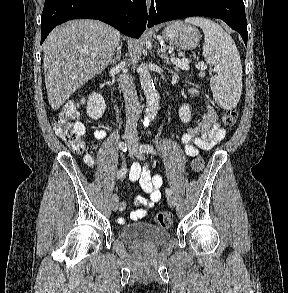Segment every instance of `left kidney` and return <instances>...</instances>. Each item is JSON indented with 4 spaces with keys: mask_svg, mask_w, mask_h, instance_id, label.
I'll return each mask as SVG.
<instances>
[{
    "mask_svg": "<svg viewBox=\"0 0 288 293\" xmlns=\"http://www.w3.org/2000/svg\"><path fill=\"white\" fill-rule=\"evenodd\" d=\"M179 118L183 123H188L191 120V109L188 104H183L179 108Z\"/></svg>",
    "mask_w": 288,
    "mask_h": 293,
    "instance_id": "1",
    "label": "left kidney"
}]
</instances>
